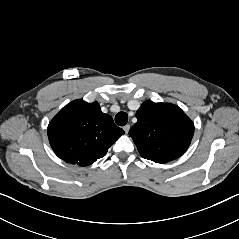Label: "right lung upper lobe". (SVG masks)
I'll list each match as a JSON object with an SVG mask.
<instances>
[{
    "label": "right lung upper lobe",
    "mask_w": 239,
    "mask_h": 239,
    "mask_svg": "<svg viewBox=\"0 0 239 239\" xmlns=\"http://www.w3.org/2000/svg\"><path fill=\"white\" fill-rule=\"evenodd\" d=\"M124 134L98 103L74 100L49 123L48 138L56 155L67 163L87 166L102 158Z\"/></svg>",
    "instance_id": "right-lung-upper-lobe-1"
}]
</instances>
